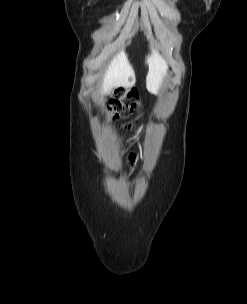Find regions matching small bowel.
Instances as JSON below:
<instances>
[{
    "label": "small bowel",
    "mask_w": 247,
    "mask_h": 304,
    "mask_svg": "<svg viewBox=\"0 0 247 304\" xmlns=\"http://www.w3.org/2000/svg\"><path fill=\"white\" fill-rule=\"evenodd\" d=\"M132 116V115H131ZM126 126L127 127H134L135 126V121L134 120H127L126 121ZM138 129V128H137ZM140 129H142V128H140ZM125 138V137H124ZM127 138H129V137H127ZM130 138H132V137H130ZM134 138H138V137H134ZM141 138V137H140ZM143 138V137H142ZM149 138V137H148ZM120 149L122 148L121 146L119 147ZM126 151H131V146H126ZM134 149V148H133ZM139 149H141V148H139ZM137 158V153L136 152H131L130 153V157L129 156H126L125 158H124V161L126 162V163H129L130 161H131V159H136Z\"/></svg>",
    "instance_id": "1"
}]
</instances>
